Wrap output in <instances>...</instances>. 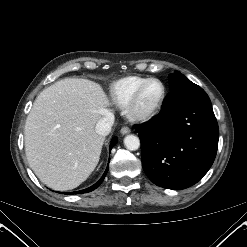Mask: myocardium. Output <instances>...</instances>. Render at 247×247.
<instances>
[{
  "mask_svg": "<svg viewBox=\"0 0 247 247\" xmlns=\"http://www.w3.org/2000/svg\"><path fill=\"white\" fill-rule=\"evenodd\" d=\"M152 82H157L162 87V94H161L160 100L153 109H151L147 112H140L137 110L138 101L140 99V96H141L143 90L146 88L147 85H149ZM166 96H167V88H166L165 84L163 83V81H161L158 78L147 79L141 85L138 86V88L135 90L134 94L132 95L130 101L128 102V104L126 106V112H127L128 117L131 120L137 121V122H144V121H148V120L152 119L153 117H155L160 112V110L164 104V101L166 99Z\"/></svg>",
  "mask_w": 247,
  "mask_h": 247,
  "instance_id": "myocardium-1",
  "label": "myocardium"
}]
</instances>
